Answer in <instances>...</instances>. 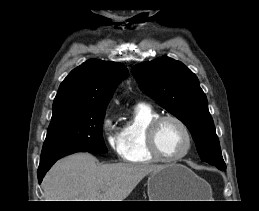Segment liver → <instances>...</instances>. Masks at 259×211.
Wrapping results in <instances>:
<instances>
[{
    "instance_id": "obj_1",
    "label": "liver",
    "mask_w": 259,
    "mask_h": 211,
    "mask_svg": "<svg viewBox=\"0 0 259 211\" xmlns=\"http://www.w3.org/2000/svg\"><path fill=\"white\" fill-rule=\"evenodd\" d=\"M153 164H99L90 153L69 155L54 164L43 179L46 201H124Z\"/></svg>"
}]
</instances>
